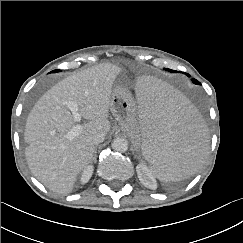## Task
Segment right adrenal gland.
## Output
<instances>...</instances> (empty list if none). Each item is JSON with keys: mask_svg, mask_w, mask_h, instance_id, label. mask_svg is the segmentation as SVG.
<instances>
[{"mask_svg": "<svg viewBox=\"0 0 243 243\" xmlns=\"http://www.w3.org/2000/svg\"><path fill=\"white\" fill-rule=\"evenodd\" d=\"M96 153H97V147L95 148V151H94V157H93L94 162H96Z\"/></svg>", "mask_w": 243, "mask_h": 243, "instance_id": "obj_1", "label": "right adrenal gland"}]
</instances>
